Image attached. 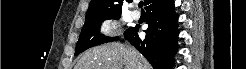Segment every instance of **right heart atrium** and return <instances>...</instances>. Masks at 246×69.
<instances>
[{"label":"right heart atrium","mask_w":246,"mask_h":69,"mask_svg":"<svg viewBox=\"0 0 246 69\" xmlns=\"http://www.w3.org/2000/svg\"><path fill=\"white\" fill-rule=\"evenodd\" d=\"M117 28V23L113 20H105L101 26V31L104 34H112Z\"/></svg>","instance_id":"right-heart-atrium-1"}]
</instances>
